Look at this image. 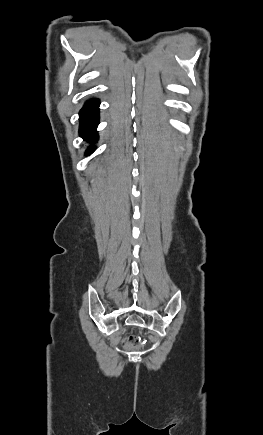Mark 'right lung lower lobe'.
Here are the masks:
<instances>
[{
	"label": "right lung lower lobe",
	"instance_id": "98d812e1",
	"mask_svg": "<svg viewBox=\"0 0 263 435\" xmlns=\"http://www.w3.org/2000/svg\"><path fill=\"white\" fill-rule=\"evenodd\" d=\"M99 104L96 99L89 100L81 109L80 116V136L90 142H95L98 139L97 126L99 123ZM95 148L89 147L86 155L91 154Z\"/></svg>",
	"mask_w": 263,
	"mask_h": 435
}]
</instances>
